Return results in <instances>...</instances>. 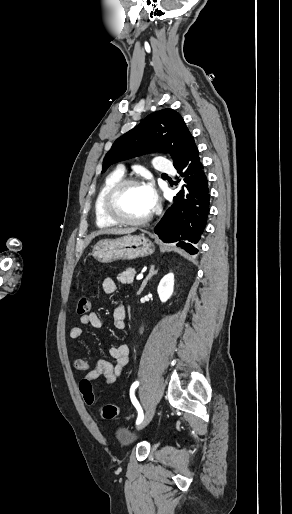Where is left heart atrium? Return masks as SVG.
I'll return each instance as SVG.
<instances>
[{
	"label": "left heart atrium",
	"mask_w": 292,
	"mask_h": 514,
	"mask_svg": "<svg viewBox=\"0 0 292 514\" xmlns=\"http://www.w3.org/2000/svg\"><path fill=\"white\" fill-rule=\"evenodd\" d=\"M141 189L146 198L150 210L153 209L157 204V193L153 183L147 181L141 185Z\"/></svg>",
	"instance_id": "obj_1"
}]
</instances>
